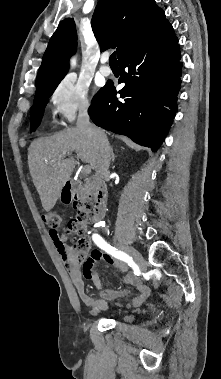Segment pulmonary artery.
I'll list each match as a JSON object with an SVG mask.
<instances>
[{
  "mask_svg": "<svg viewBox=\"0 0 221 379\" xmlns=\"http://www.w3.org/2000/svg\"><path fill=\"white\" fill-rule=\"evenodd\" d=\"M109 59V56L107 54L102 55L100 62V68L99 71L104 76H109L112 73L111 68L106 64Z\"/></svg>",
  "mask_w": 221,
  "mask_h": 379,
  "instance_id": "obj_1",
  "label": "pulmonary artery"
}]
</instances>
